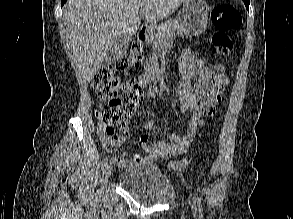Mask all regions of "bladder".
<instances>
[{"label": "bladder", "instance_id": "31cf9c89", "mask_svg": "<svg viewBox=\"0 0 293 219\" xmlns=\"http://www.w3.org/2000/svg\"><path fill=\"white\" fill-rule=\"evenodd\" d=\"M118 180L127 193L147 206L167 204L176 197L170 180L154 165L132 166L121 172Z\"/></svg>", "mask_w": 293, "mask_h": 219}]
</instances>
